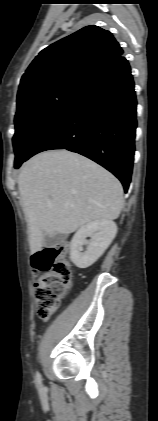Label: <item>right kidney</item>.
<instances>
[{
	"label": "right kidney",
	"instance_id": "right-kidney-1",
	"mask_svg": "<svg viewBox=\"0 0 158 421\" xmlns=\"http://www.w3.org/2000/svg\"><path fill=\"white\" fill-rule=\"evenodd\" d=\"M116 233L117 225L111 220L93 221L82 226L71 240L70 260L78 268L91 266L109 247ZM88 236L91 237L90 242L86 241Z\"/></svg>",
	"mask_w": 158,
	"mask_h": 421
}]
</instances>
